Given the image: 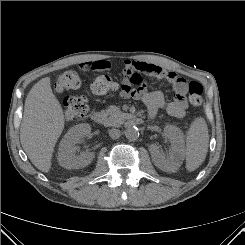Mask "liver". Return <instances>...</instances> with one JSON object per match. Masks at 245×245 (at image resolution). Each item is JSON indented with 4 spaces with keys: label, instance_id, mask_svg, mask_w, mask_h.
Listing matches in <instances>:
<instances>
[{
    "label": "liver",
    "instance_id": "liver-1",
    "mask_svg": "<svg viewBox=\"0 0 245 245\" xmlns=\"http://www.w3.org/2000/svg\"><path fill=\"white\" fill-rule=\"evenodd\" d=\"M63 109L52 92L50 78L38 81L25 100L20 141L32 164L42 172L51 168L55 144L64 129Z\"/></svg>",
    "mask_w": 245,
    "mask_h": 245
}]
</instances>
